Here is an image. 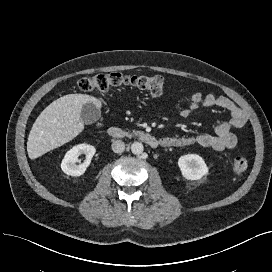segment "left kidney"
<instances>
[{
    "label": "left kidney",
    "instance_id": "left-kidney-1",
    "mask_svg": "<svg viewBox=\"0 0 272 272\" xmlns=\"http://www.w3.org/2000/svg\"><path fill=\"white\" fill-rule=\"evenodd\" d=\"M178 166L187 180H200L208 174V167L203 158L197 154L183 155L178 160Z\"/></svg>",
    "mask_w": 272,
    "mask_h": 272
}]
</instances>
